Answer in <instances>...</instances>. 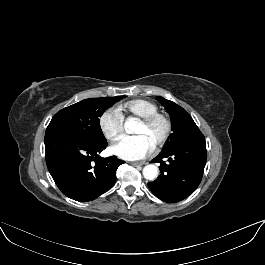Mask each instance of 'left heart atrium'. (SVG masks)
<instances>
[{
  "label": "left heart atrium",
  "mask_w": 265,
  "mask_h": 265,
  "mask_svg": "<svg viewBox=\"0 0 265 265\" xmlns=\"http://www.w3.org/2000/svg\"><path fill=\"white\" fill-rule=\"evenodd\" d=\"M153 144L143 134L124 136L114 147L113 152L125 160H138L153 150Z\"/></svg>",
  "instance_id": "left-heart-atrium-1"
}]
</instances>
